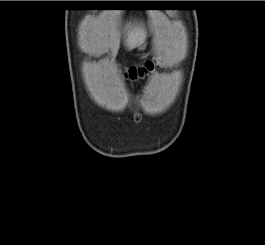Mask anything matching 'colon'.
I'll list each match as a JSON object with an SVG mask.
<instances>
[{"instance_id":"colon-1","label":"colon","mask_w":265,"mask_h":245,"mask_svg":"<svg viewBox=\"0 0 265 245\" xmlns=\"http://www.w3.org/2000/svg\"><path fill=\"white\" fill-rule=\"evenodd\" d=\"M150 68V65L145 66H133L129 69L127 76L130 79H137L145 74V72Z\"/></svg>"}]
</instances>
